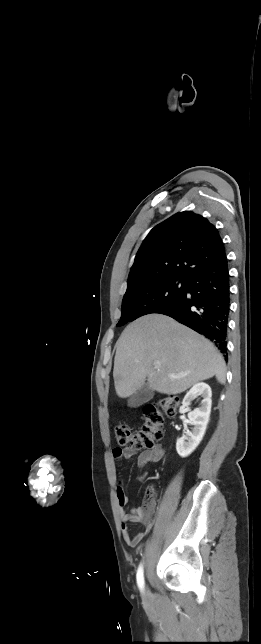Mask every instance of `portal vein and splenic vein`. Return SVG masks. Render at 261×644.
<instances>
[{
    "mask_svg": "<svg viewBox=\"0 0 261 644\" xmlns=\"http://www.w3.org/2000/svg\"><path fill=\"white\" fill-rule=\"evenodd\" d=\"M154 367H155V369H159L161 367V363L160 362H155ZM169 377L178 378L177 376H174V375H169Z\"/></svg>",
    "mask_w": 261,
    "mask_h": 644,
    "instance_id": "18ae733b",
    "label": "portal vein and splenic vein"
}]
</instances>
